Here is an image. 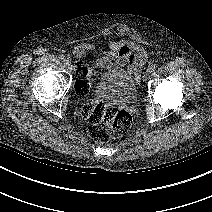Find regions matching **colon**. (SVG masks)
I'll return each mask as SVG.
<instances>
[{"label":"colon","mask_w":212,"mask_h":212,"mask_svg":"<svg viewBox=\"0 0 212 212\" xmlns=\"http://www.w3.org/2000/svg\"><path fill=\"white\" fill-rule=\"evenodd\" d=\"M76 70L79 79L76 81L75 89L78 94H84L91 86L90 79L93 71L82 61L77 63ZM81 113L89 121L88 135L99 142L124 135L132 124L130 113L115 105H104L100 102L86 103Z\"/></svg>","instance_id":"obj_1"}]
</instances>
